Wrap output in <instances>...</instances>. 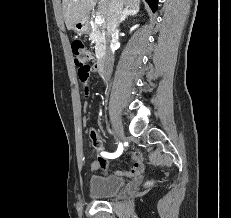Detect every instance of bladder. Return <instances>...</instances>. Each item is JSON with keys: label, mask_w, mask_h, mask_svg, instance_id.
I'll use <instances>...</instances> for the list:
<instances>
[{"label": "bladder", "mask_w": 231, "mask_h": 218, "mask_svg": "<svg viewBox=\"0 0 231 218\" xmlns=\"http://www.w3.org/2000/svg\"><path fill=\"white\" fill-rule=\"evenodd\" d=\"M124 185V179L117 176H93L89 184V193L95 199L109 198L119 193Z\"/></svg>", "instance_id": "1"}]
</instances>
